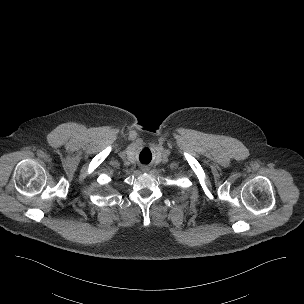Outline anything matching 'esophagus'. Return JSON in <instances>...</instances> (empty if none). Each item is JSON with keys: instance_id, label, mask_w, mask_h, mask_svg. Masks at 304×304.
<instances>
[{"instance_id": "1", "label": "esophagus", "mask_w": 304, "mask_h": 304, "mask_svg": "<svg viewBox=\"0 0 304 304\" xmlns=\"http://www.w3.org/2000/svg\"><path fill=\"white\" fill-rule=\"evenodd\" d=\"M149 167L148 166H146V165H143L142 167H141V170L143 171V172H147V171H149Z\"/></svg>"}]
</instances>
